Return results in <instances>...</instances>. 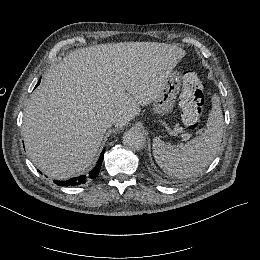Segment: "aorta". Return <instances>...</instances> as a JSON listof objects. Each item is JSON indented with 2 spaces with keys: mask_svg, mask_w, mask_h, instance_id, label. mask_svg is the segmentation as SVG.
Here are the masks:
<instances>
[{
  "mask_svg": "<svg viewBox=\"0 0 260 260\" xmlns=\"http://www.w3.org/2000/svg\"><path fill=\"white\" fill-rule=\"evenodd\" d=\"M123 143L132 150H141L146 144V137L142 132L130 129L124 133Z\"/></svg>",
  "mask_w": 260,
  "mask_h": 260,
  "instance_id": "762f6f07",
  "label": "aorta"
}]
</instances>
